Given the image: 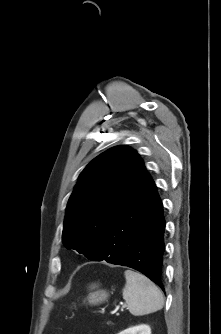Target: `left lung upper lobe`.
<instances>
[{
	"label": "left lung upper lobe",
	"mask_w": 221,
	"mask_h": 334,
	"mask_svg": "<svg viewBox=\"0 0 221 334\" xmlns=\"http://www.w3.org/2000/svg\"><path fill=\"white\" fill-rule=\"evenodd\" d=\"M146 173L138 153L127 146H115L93 159L67 204L65 247L94 260L108 226Z\"/></svg>",
	"instance_id": "1"
}]
</instances>
